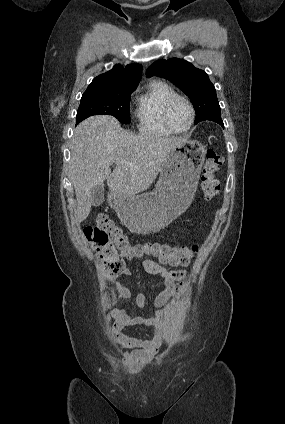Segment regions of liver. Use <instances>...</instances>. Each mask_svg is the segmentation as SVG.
Segmentation results:
<instances>
[{
	"label": "liver",
	"mask_w": 285,
	"mask_h": 424,
	"mask_svg": "<svg viewBox=\"0 0 285 424\" xmlns=\"http://www.w3.org/2000/svg\"><path fill=\"white\" fill-rule=\"evenodd\" d=\"M186 143L183 137L133 133L112 116L82 121L71 139L70 170L77 199L76 216L85 220L92 205L91 190L107 180L112 194L131 197L155 181L171 152ZM116 163L111 172L110 167Z\"/></svg>",
	"instance_id": "1"
}]
</instances>
